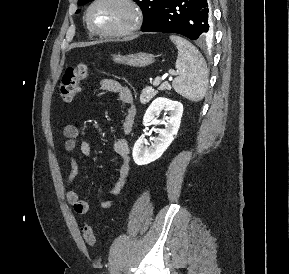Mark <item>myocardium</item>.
I'll return each instance as SVG.
<instances>
[{"label":"myocardium","instance_id":"myocardium-1","mask_svg":"<svg viewBox=\"0 0 289 274\" xmlns=\"http://www.w3.org/2000/svg\"><path fill=\"white\" fill-rule=\"evenodd\" d=\"M106 1L118 2L128 8L129 13H130V19L126 25L116 30L104 31V30L97 29L92 24L91 18H90L92 9L96 5L102 2H106ZM85 21H86V25L88 29L95 35L105 37V38H119V37L129 36L140 28L142 21H143V13H142V9L140 5L137 3L136 0H93L86 9Z\"/></svg>","mask_w":289,"mask_h":274}]
</instances>
